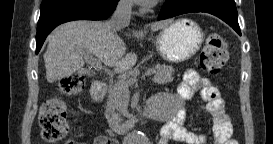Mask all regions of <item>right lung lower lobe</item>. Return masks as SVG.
Segmentation results:
<instances>
[{"label":"right lung lower lobe","mask_w":273,"mask_h":144,"mask_svg":"<svg viewBox=\"0 0 273 144\" xmlns=\"http://www.w3.org/2000/svg\"><path fill=\"white\" fill-rule=\"evenodd\" d=\"M119 0H43L36 34V54L48 34L72 20H103L115 10Z\"/></svg>","instance_id":"98d812e1"}]
</instances>
